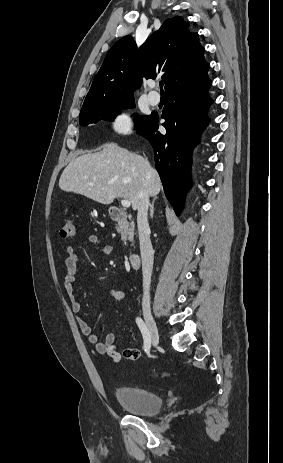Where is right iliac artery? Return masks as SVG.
<instances>
[{
	"label": "right iliac artery",
	"mask_w": 283,
	"mask_h": 463,
	"mask_svg": "<svg viewBox=\"0 0 283 463\" xmlns=\"http://www.w3.org/2000/svg\"><path fill=\"white\" fill-rule=\"evenodd\" d=\"M136 323L142 333V336H143V339H144V349L145 351L149 350L150 349V346H151V339H150V335H149V331H148V328L146 326V324L144 323V321L140 318V317H137L136 318Z\"/></svg>",
	"instance_id": "right-iliac-artery-1"
}]
</instances>
